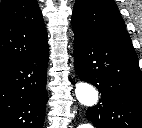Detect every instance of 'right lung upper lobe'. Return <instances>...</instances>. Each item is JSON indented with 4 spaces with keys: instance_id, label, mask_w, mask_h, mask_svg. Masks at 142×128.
Masks as SVG:
<instances>
[{
    "instance_id": "1",
    "label": "right lung upper lobe",
    "mask_w": 142,
    "mask_h": 128,
    "mask_svg": "<svg viewBox=\"0 0 142 128\" xmlns=\"http://www.w3.org/2000/svg\"><path fill=\"white\" fill-rule=\"evenodd\" d=\"M47 44L37 0H3L0 4V71Z\"/></svg>"
}]
</instances>
